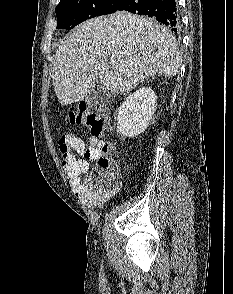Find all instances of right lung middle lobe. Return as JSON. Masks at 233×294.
<instances>
[{"label":"right lung middle lobe","mask_w":233,"mask_h":294,"mask_svg":"<svg viewBox=\"0 0 233 294\" xmlns=\"http://www.w3.org/2000/svg\"><path fill=\"white\" fill-rule=\"evenodd\" d=\"M124 0H61L56 6L57 29L71 30L79 23L117 11Z\"/></svg>","instance_id":"right-lung-middle-lobe-1"}]
</instances>
